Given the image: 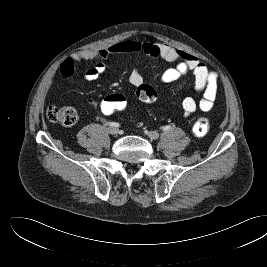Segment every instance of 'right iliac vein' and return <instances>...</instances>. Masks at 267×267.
<instances>
[{
    "mask_svg": "<svg viewBox=\"0 0 267 267\" xmlns=\"http://www.w3.org/2000/svg\"><path fill=\"white\" fill-rule=\"evenodd\" d=\"M108 132L111 135H116V134H118V129L116 127H109Z\"/></svg>",
    "mask_w": 267,
    "mask_h": 267,
    "instance_id": "63e3f726",
    "label": "right iliac vein"
}]
</instances>
